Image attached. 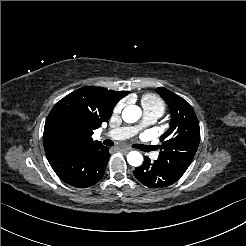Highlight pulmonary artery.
I'll return each mask as SVG.
<instances>
[{"label": "pulmonary artery", "instance_id": "1", "mask_svg": "<svg viewBox=\"0 0 246 246\" xmlns=\"http://www.w3.org/2000/svg\"><path fill=\"white\" fill-rule=\"evenodd\" d=\"M159 118V115L156 113L151 112H144V123L145 124H152ZM137 129L128 128V127H121L115 130H112L108 133V136L112 139H124L128 138L135 134ZM151 151V150H148Z\"/></svg>", "mask_w": 246, "mask_h": 246}]
</instances>
